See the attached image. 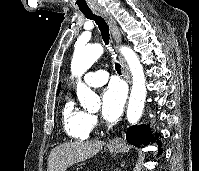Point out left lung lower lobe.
<instances>
[{
  "instance_id": "obj_1",
  "label": "left lung lower lobe",
  "mask_w": 199,
  "mask_h": 171,
  "mask_svg": "<svg viewBox=\"0 0 199 171\" xmlns=\"http://www.w3.org/2000/svg\"><path fill=\"white\" fill-rule=\"evenodd\" d=\"M151 133L149 125L147 127L145 125L131 126L127 131L126 139L134 146H147L150 142H156L157 136H159V134L156 133V137L152 138ZM157 144L158 154H160L162 152L160 148L161 142L157 140Z\"/></svg>"
}]
</instances>
